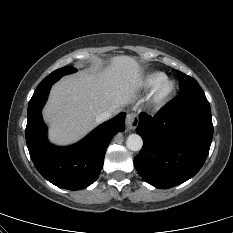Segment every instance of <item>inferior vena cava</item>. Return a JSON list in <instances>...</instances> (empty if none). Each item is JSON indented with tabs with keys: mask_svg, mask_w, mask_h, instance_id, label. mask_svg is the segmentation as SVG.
I'll use <instances>...</instances> for the list:
<instances>
[{
	"mask_svg": "<svg viewBox=\"0 0 233 233\" xmlns=\"http://www.w3.org/2000/svg\"><path fill=\"white\" fill-rule=\"evenodd\" d=\"M114 113H116V112H113V111H104L103 113H101L100 115H98L96 117V122L97 123H102V122L110 119L114 115Z\"/></svg>",
	"mask_w": 233,
	"mask_h": 233,
	"instance_id": "602c4592",
	"label": "inferior vena cava"
}]
</instances>
